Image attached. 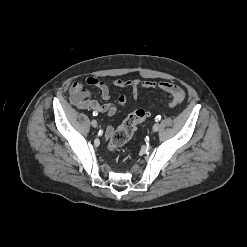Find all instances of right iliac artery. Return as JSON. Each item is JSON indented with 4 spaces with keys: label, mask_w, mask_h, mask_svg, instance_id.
I'll use <instances>...</instances> for the list:
<instances>
[{
    "label": "right iliac artery",
    "mask_w": 247,
    "mask_h": 247,
    "mask_svg": "<svg viewBox=\"0 0 247 247\" xmlns=\"http://www.w3.org/2000/svg\"><path fill=\"white\" fill-rule=\"evenodd\" d=\"M93 115H97V113L95 114V112H93Z\"/></svg>",
    "instance_id": "1"
}]
</instances>
